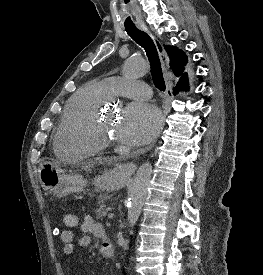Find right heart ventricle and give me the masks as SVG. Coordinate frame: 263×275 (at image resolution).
I'll return each mask as SVG.
<instances>
[{
	"label": "right heart ventricle",
	"instance_id": "e07e8e85",
	"mask_svg": "<svg viewBox=\"0 0 263 275\" xmlns=\"http://www.w3.org/2000/svg\"><path fill=\"white\" fill-rule=\"evenodd\" d=\"M109 97L101 83L92 82L83 86L70 98L54 138V147L58 154L70 159H82L98 152L82 140L81 131Z\"/></svg>",
	"mask_w": 263,
	"mask_h": 275
}]
</instances>
